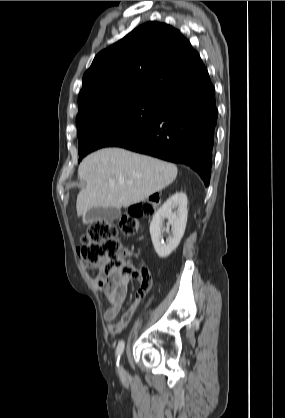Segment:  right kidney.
I'll use <instances>...</instances> for the list:
<instances>
[{
    "instance_id": "obj_1",
    "label": "right kidney",
    "mask_w": 285,
    "mask_h": 418,
    "mask_svg": "<svg viewBox=\"0 0 285 418\" xmlns=\"http://www.w3.org/2000/svg\"><path fill=\"white\" fill-rule=\"evenodd\" d=\"M187 214V196L183 192L172 195L154 214L150 224V235L159 257H168L179 245L185 232ZM165 218L172 227V236L167 239L166 243H163L161 239Z\"/></svg>"
}]
</instances>
